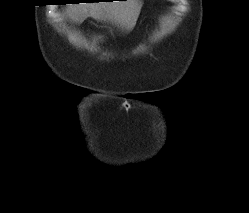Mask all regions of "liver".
Listing matches in <instances>:
<instances>
[{
  "label": "liver",
  "instance_id": "liver-1",
  "mask_svg": "<svg viewBox=\"0 0 249 213\" xmlns=\"http://www.w3.org/2000/svg\"><path fill=\"white\" fill-rule=\"evenodd\" d=\"M141 7L140 0L83 3L69 6L67 13L75 22H82L90 16L96 20L110 21L130 32L136 25Z\"/></svg>",
  "mask_w": 249,
  "mask_h": 213
}]
</instances>
